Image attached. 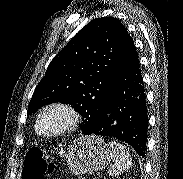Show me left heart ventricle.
<instances>
[{"mask_svg": "<svg viewBox=\"0 0 183 179\" xmlns=\"http://www.w3.org/2000/svg\"><path fill=\"white\" fill-rule=\"evenodd\" d=\"M68 121L67 115L57 109L47 111L41 119V129L44 132H53L62 128Z\"/></svg>", "mask_w": 183, "mask_h": 179, "instance_id": "1", "label": "left heart ventricle"}]
</instances>
